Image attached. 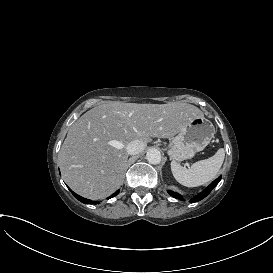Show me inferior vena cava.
<instances>
[{"mask_svg": "<svg viewBox=\"0 0 273 273\" xmlns=\"http://www.w3.org/2000/svg\"><path fill=\"white\" fill-rule=\"evenodd\" d=\"M145 147L146 144L143 141L136 139L128 143L126 149L128 154L135 155L142 152Z\"/></svg>", "mask_w": 273, "mask_h": 273, "instance_id": "1", "label": "inferior vena cava"}]
</instances>
